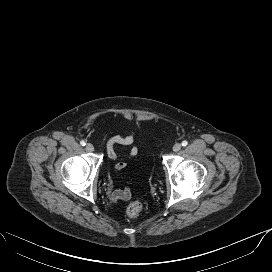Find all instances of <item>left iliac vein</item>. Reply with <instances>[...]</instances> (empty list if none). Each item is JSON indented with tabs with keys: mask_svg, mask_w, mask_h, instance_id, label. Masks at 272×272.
<instances>
[{
	"mask_svg": "<svg viewBox=\"0 0 272 272\" xmlns=\"http://www.w3.org/2000/svg\"><path fill=\"white\" fill-rule=\"evenodd\" d=\"M181 144L180 143H176V144H174L173 145V151H175V152H177V151H179L180 149H181Z\"/></svg>",
	"mask_w": 272,
	"mask_h": 272,
	"instance_id": "4c4485c4",
	"label": "left iliac vein"
}]
</instances>
